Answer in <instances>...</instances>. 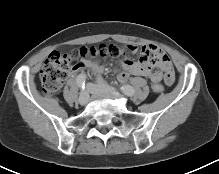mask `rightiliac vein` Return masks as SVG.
<instances>
[{
	"mask_svg": "<svg viewBox=\"0 0 219 174\" xmlns=\"http://www.w3.org/2000/svg\"><path fill=\"white\" fill-rule=\"evenodd\" d=\"M88 100H89V93H88V91L87 90L82 91L80 93V96H79V99H78L79 103L81 105H85V104H87Z\"/></svg>",
	"mask_w": 219,
	"mask_h": 174,
	"instance_id": "obj_1",
	"label": "right iliac vein"
}]
</instances>
